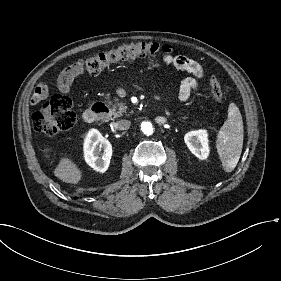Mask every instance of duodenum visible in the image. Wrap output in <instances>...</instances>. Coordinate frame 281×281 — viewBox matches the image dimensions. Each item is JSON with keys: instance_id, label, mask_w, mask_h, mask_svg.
<instances>
[{"instance_id": "410a0bca", "label": "duodenum", "mask_w": 281, "mask_h": 281, "mask_svg": "<svg viewBox=\"0 0 281 281\" xmlns=\"http://www.w3.org/2000/svg\"><path fill=\"white\" fill-rule=\"evenodd\" d=\"M106 111V104L103 101H97L84 112L83 119L88 124L96 123L105 115Z\"/></svg>"}]
</instances>
